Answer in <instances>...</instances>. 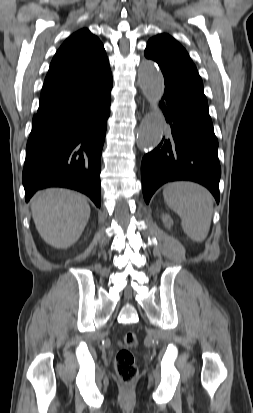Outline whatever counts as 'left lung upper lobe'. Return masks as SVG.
<instances>
[{
	"mask_svg": "<svg viewBox=\"0 0 253 413\" xmlns=\"http://www.w3.org/2000/svg\"><path fill=\"white\" fill-rule=\"evenodd\" d=\"M145 56L154 60L163 74L188 78L203 85L187 51L170 35L159 34L151 38Z\"/></svg>",
	"mask_w": 253,
	"mask_h": 413,
	"instance_id": "left-lung-upper-lobe-1",
	"label": "left lung upper lobe"
}]
</instances>
